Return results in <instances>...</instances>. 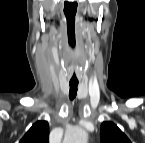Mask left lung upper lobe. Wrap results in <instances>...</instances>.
Returning a JSON list of instances; mask_svg holds the SVG:
<instances>
[{
    "label": "left lung upper lobe",
    "instance_id": "obj_1",
    "mask_svg": "<svg viewBox=\"0 0 145 143\" xmlns=\"http://www.w3.org/2000/svg\"><path fill=\"white\" fill-rule=\"evenodd\" d=\"M101 143H130L127 136L112 122L105 121L100 128Z\"/></svg>",
    "mask_w": 145,
    "mask_h": 143
}]
</instances>
